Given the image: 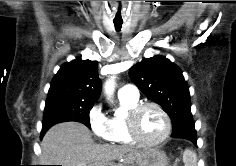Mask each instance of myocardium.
I'll list each match as a JSON object with an SVG mask.
<instances>
[{"mask_svg":"<svg viewBox=\"0 0 236 166\" xmlns=\"http://www.w3.org/2000/svg\"><path fill=\"white\" fill-rule=\"evenodd\" d=\"M147 108L156 109L162 115L165 121V131H164L163 136L159 140L154 141V142L144 141L140 137L138 128H137L138 118L140 114ZM125 123H126V127L132 141L135 144L141 147H146V148H153V147H157L161 145L167 140L171 132V119L168 113L164 110V108L161 105L155 102H144V103L138 104L136 107H134L128 112V115L125 118Z\"/></svg>","mask_w":236,"mask_h":166,"instance_id":"f54148a6","label":"myocardium"}]
</instances>
